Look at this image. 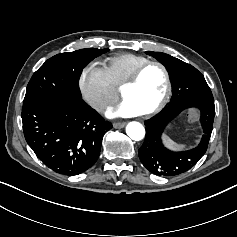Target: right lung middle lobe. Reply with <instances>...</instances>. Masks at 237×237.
Returning <instances> with one entry per match:
<instances>
[{
  "label": "right lung middle lobe",
  "mask_w": 237,
  "mask_h": 237,
  "mask_svg": "<svg viewBox=\"0 0 237 237\" xmlns=\"http://www.w3.org/2000/svg\"><path fill=\"white\" fill-rule=\"evenodd\" d=\"M108 50L87 48L60 53L46 60L28 83L23 108L55 97H81L79 78L82 69Z\"/></svg>",
  "instance_id": "obj_1"
}]
</instances>
